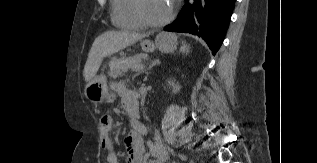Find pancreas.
<instances>
[{"instance_id": "cf45deb5", "label": "pancreas", "mask_w": 317, "mask_h": 163, "mask_svg": "<svg viewBox=\"0 0 317 163\" xmlns=\"http://www.w3.org/2000/svg\"><path fill=\"white\" fill-rule=\"evenodd\" d=\"M143 59V55H136L133 57L112 58L109 62V76L113 78L121 76L123 73L128 71V69H133L136 65L142 64Z\"/></svg>"}]
</instances>
